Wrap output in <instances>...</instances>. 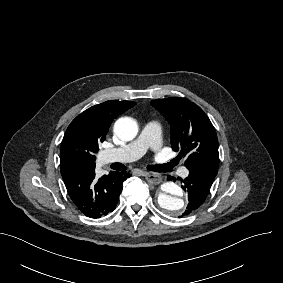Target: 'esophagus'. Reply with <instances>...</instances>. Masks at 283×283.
<instances>
[{
  "mask_svg": "<svg viewBox=\"0 0 283 283\" xmlns=\"http://www.w3.org/2000/svg\"><path fill=\"white\" fill-rule=\"evenodd\" d=\"M141 176H144L146 180L154 185L160 184L162 182V178L157 173H148V172H140Z\"/></svg>",
  "mask_w": 283,
  "mask_h": 283,
  "instance_id": "obj_1",
  "label": "esophagus"
}]
</instances>
